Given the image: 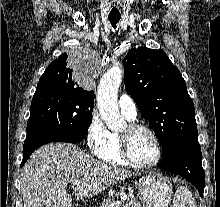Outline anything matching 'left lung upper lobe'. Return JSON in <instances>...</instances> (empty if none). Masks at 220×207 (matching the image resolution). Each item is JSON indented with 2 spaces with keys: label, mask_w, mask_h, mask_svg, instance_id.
Masks as SVG:
<instances>
[{
  "label": "left lung upper lobe",
  "mask_w": 220,
  "mask_h": 207,
  "mask_svg": "<svg viewBox=\"0 0 220 207\" xmlns=\"http://www.w3.org/2000/svg\"><path fill=\"white\" fill-rule=\"evenodd\" d=\"M123 65L127 93L148 119L163 149L198 132L185 81L163 50L133 48Z\"/></svg>",
  "instance_id": "obj_1"
}]
</instances>
